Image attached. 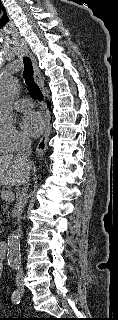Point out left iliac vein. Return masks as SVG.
I'll use <instances>...</instances> for the list:
<instances>
[{"label":"left iliac vein","mask_w":118,"mask_h":320,"mask_svg":"<svg viewBox=\"0 0 118 320\" xmlns=\"http://www.w3.org/2000/svg\"><path fill=\"white\" fill-rule=\"evenodd\" d=\"M20 293H21V294L24 293V289H23V286H22V285H21Z\"/></svg>","instance_id":"1"}]
</instances>
